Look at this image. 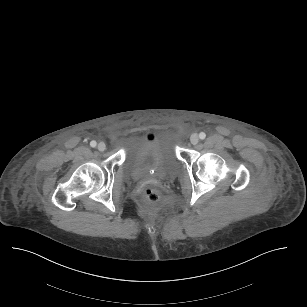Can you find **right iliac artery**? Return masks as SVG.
<instances>
[{
  "instance_id": "obj_1",
  "label": "right iliac artery",
  "mask_w": 307,
  "mask_h": 307,
  "mask_svg": "<svg viewBox=\"0 0 307 307\" xmlns=\"http://www.w3.org/2000/svg\"><path fill=\"white\" fill-rule=\"evenodd\" d=\"M96 145H97L96 141L93 140V141L90 142L91 147H96Z\"/></svg>"
}]
</instances>
